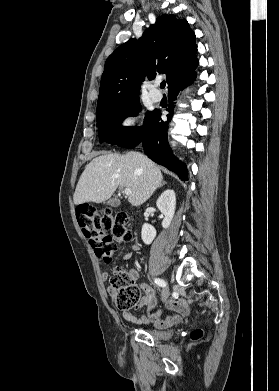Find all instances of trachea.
Here are the masks:
<instances>
[{
  "instance_id": "1",
  "label": "trachea",
  "mask_w": 279,
  "mask_h": 391,
  "mask_svg": "<svg viewBox=\"0 0 279 391\" xmlns=\"http://www.w3.org/2000/svg\"><path fill=\"white\" fill-rule=\"evenodd\" d=\"M165 86H166V82H165V81H163V82L160 84V88H161V89H164V88H165Z\"/></svg>"
}]
</instances>
